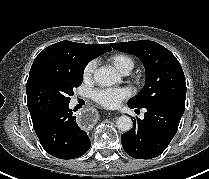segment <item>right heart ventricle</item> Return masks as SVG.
<instances>
[{
    "instance_id": "1",
    "label": "right heart ventricle",
    "mask_w": 209,
    "mask_h": 179,
    "mask_svg": "<svg viewBox=\"0 0 209 179\" xmlns=\"http://www.w3.org/2000/svg\"><path fill=\"white\" fill-rule=\"evenodd\" d=\"M110 64L120 73H129L134 67V60L127 54L118 53L109 57Z\"/></svg>"
}]
</instances>
